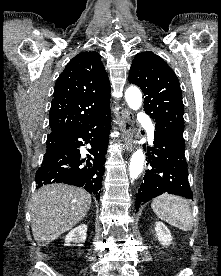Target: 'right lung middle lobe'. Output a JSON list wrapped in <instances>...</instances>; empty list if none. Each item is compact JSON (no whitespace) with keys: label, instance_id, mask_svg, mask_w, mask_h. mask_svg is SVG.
I'll use <instances>...</instances> for the list:
<instances>
[{"label":"right lung middle lobe","instance_id":"1","mask_svg":"<svg viewBox=\"0 0 221 276\" xmlns=\"http://www.w3.org/2000/svg\"><path fill=\"white\" fill-rule=\"evenodd\" d=\"M69 137L67 136H54L47 137V150L63 146L67 143Z\"/></svg>","mask_w":221,"mask_h":276}]
</instances>
